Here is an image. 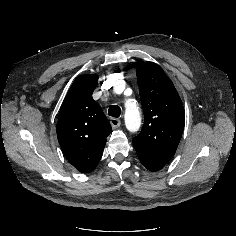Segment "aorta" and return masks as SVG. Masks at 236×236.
<instances>
[{"label":"aorta","mask_w":236,"mask_h":236,"mask_svg":"<svg viewBox=\"0 0 236 236\" xmlns=\"http://www.w3.org/2000/svg\"><path fill=\"white\" fill-rule=\"evenodd\" d=\"M141 124V116L136 101L129 100L125 105V125L130 132H136Z\"/></svg>","instance_id":"1"}]
</instances>
